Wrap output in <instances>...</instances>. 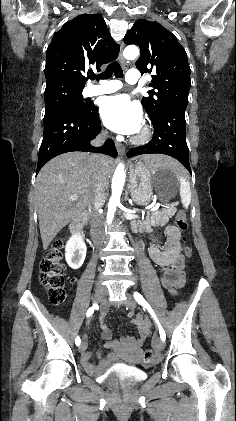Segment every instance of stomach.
Returning <instances> with one entry per match:
<instances>
[{
  "mask_svg": "<svg viewBox=\"0 0 236 421\" xmlns=\"http://www.w3.org/2000/svg\"><path fill=\"white\" fill-rule=\"evenodd\" d=\"M179 176L169 166H147L145 162L130 164L129 184L136 204H149L153 190L161 200H170L178 192Z\"/></svg>",
  "mask_w": 236,
  "mask_h": 421,
  "instance_id": "stomach-1",
  "label": "stomach"
}]
</instances>
